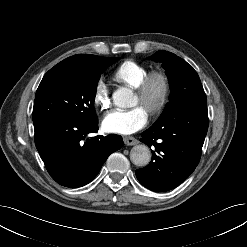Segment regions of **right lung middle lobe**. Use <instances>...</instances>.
Masks as SVG:
<instances>
[{
    "label": "right lung middle lobe",
    "instance_id": "right-lung-middle-lobe-1",
    "mask_svg": "<svg viewBox=\"0 0 247 247\" xmlns=\"http://www.w3.org/2000/svg\"><path fill=\"white\" fill-rule=\"evenodd\" d=\"M118 58L99 57L87 66H54L43 77L35 96L33 123L76 117L97 119L94 108L100 75Z\"/></svg>",
    "mask_w": 247,
    "mask_h": 247
}]
</instances>
